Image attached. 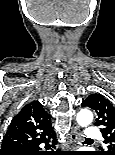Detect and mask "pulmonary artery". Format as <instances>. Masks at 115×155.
<instances>
[{
  "instance_id": "1",
  "label": "pulmonary artery",
  "mask_w": 115,
  "mask_h": 155,
  "mask_svg": "<svg viewBox=\"0 0 115 155\" xmlns=\"http://www.w3.org/2000/svg\"><path fill=\"white\" fill-rule=\"evenodd\" d=\"M100 136H101V133L97 128L89 127L86 129L85 137L87 139H90V140L96 139V138H99Z\"/></svg>"
}]
</instances>
